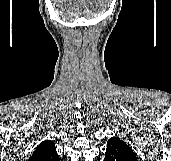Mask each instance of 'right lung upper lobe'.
<instances>
[{
	"label": "right lung upper lobe",
	"mask_w": 171,
	"mask_h": 161,
	"mask_svg": "<svg viewBox=\"0 0 171 161\" xmlns=\"http://www.w3.org/2000/svg\"><path fill=\"white\" fill-rule=\"evenodd\" d=\"M29 161H60L55 143L51 140L41 142L31 155Z\"/></svg>",
	"instance_id": "cb5924a9"
}]
</instances>
